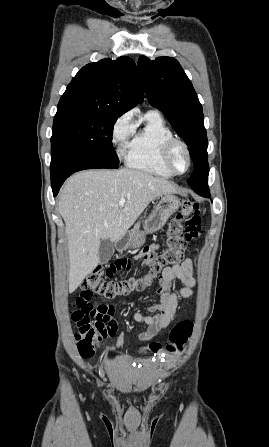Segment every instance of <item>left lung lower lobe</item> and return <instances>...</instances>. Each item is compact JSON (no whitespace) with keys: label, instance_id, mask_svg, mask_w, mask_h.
Wrapping results in <instances>:
<instances>
[{"label":"left lung lower lobe","instance_id":"1","mask_svg":"<svg viewBox=\"0 0 269 447\" xmlns=\"http://www.w3.org/2000/svg\"><path fill=\"white\" fill-rule=\"evenodd\" d=\"M193 190L196 193H198L199 195H202L205 197H210L208 186H203V187L197 186V187H194Z\"/></svg>","mask_w":269,"mask_h":447}]
</instances>
